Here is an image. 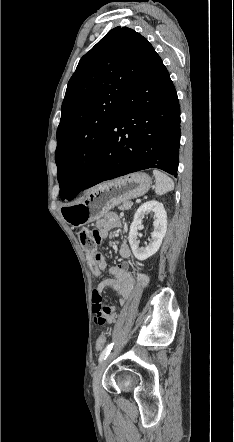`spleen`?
Wrapping results in <instances>:
<instances>
[{
    "instance_id": "3e777b00",
    "label": "spleen",
    "mask_w": 234,
    "mask_h": 442,
    "mask_svg": "<svg viewBox=\"0 0 234 442\" xmlns=\"http://www.w3.org/2000/svg\"><path fill=\"white\" fill-rule=\"evenodd\" d=\"M153 175L155 176L156 179L155 193L157 195H163L174 189L173 180L165 173L159 171L158 169H154Z\"/></svg>"
}]
</instances>
